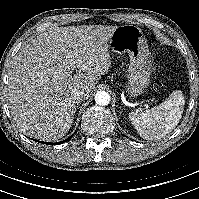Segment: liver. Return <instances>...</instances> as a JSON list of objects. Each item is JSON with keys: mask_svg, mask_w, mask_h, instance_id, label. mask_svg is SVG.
I'll return each mask as SVG.
<instances>
[{"mask_svg": "<svg viewBox=\"0 0 199 199\" xmlns=\"http://www.w3.org/2000/svg\"><path fill=\"white\" fill-rule=\"evenodd\" d=\"M116 28H54L21 48L7 85L11 115L23 133L57 141L69 131L76 113L71 90L80 88L90 97L111 66L108 42Z\"/></svg>", "mask_w": 199, "mask_h": 199, "instance_id": "obj_1", "label": "liver"}]
</instances>
